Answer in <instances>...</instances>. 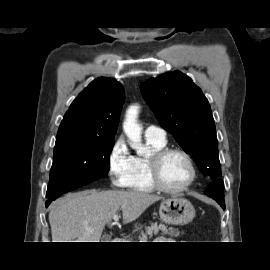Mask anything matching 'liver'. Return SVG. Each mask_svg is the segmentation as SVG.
Listing matches in <instances>:
<instances>
[{
    "label": "liver",
    "mask_w": 270,
    "mask_h": 270,
    "mask_svg": "<svg viewBox=\"0 0 270 270\" xmlns=\"http://www.w3.org/2000/svg\"><path fill=\"white\" fill-rule=\"evenodd\" d=\"M160 199L139 191L119 190H87L68 195L50 209L52 242H100L105 225L119 209L123 223H130Z\"/></svg>",
    "instance_id": "liver-1"
}]
</instances>
